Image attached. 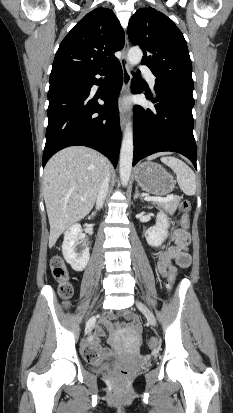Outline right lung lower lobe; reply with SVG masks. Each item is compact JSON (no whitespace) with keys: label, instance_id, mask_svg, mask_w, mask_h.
<instances>
[{"label":"right lung lower lobe","instance_id":"right-lung-lower-lobe-1","mask_svg":"<svg viewBox=\"0 0 233 413\" xmlns=\"http://www.w3.org/2000/svg\"><path fill=\"white\" fill-rule=\"evenodd\" d=\"M108 73L110 81L101 96L103 106L89 95L91 87L99 82L95 75ZM122 83L118 60L102 69L50 80L43 167L56 152L73 145L101 152L116 167L121 143L117 98Z\"/></svg>","mask_w":233,"mask_h":413}]
</instances>
